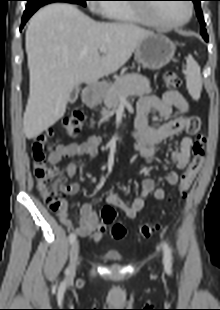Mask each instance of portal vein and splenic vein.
Segmentation results:
<instances>
[{"label": "portal vein and splenic vein", "mask_w": 220, "mask_h": 310, "mask_svg": "<svg viewBox=\"0 0 220 310\" xmlns=\"http://www.w3.org/2000/svg\"><path fill=\"white\" fill-rule=\"evenodd\" d=\"M107 52V49L106 48H104V47H102V48H100V53H106Z\"/></svg>", "instance_id": "1"}]
</instances>
